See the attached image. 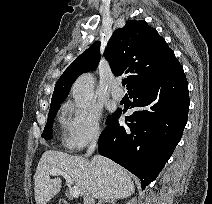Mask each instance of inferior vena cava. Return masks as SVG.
<instances>
[{
    "label": "inferior vena cava",
    "instance_id": "obj_1",
    "mask_svg": "<svg viewBox=\"0 0 212 204\" xmlns=\"http://www.w3.org/2000/svg\"><path fill=\"white\" fill-rule=\"evenodd\" d=\"M97 139L98 135H95L90 146L87 149V156L91 155L97 147ZM84 204H95L94 197L92 195H87L86 197H84Z\"/></svg>",
    "mask_w": 212,
    "mask_h": 204
}]
</instances>
